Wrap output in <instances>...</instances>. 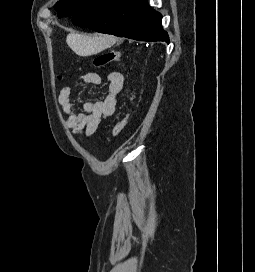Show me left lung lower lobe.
I'll use <instances>...</instances> for the list:
<instances>
[{
	"mask_svg": "<svg viewBox=\"0 0 255 272\" xmlns=\"http://www.w3.org/2000/svg\"><path fill=\"white\" fill-rule=\"evenodd\" d=\"M162 15L148 0H90L72 15V22L99 33L113 34L138 41H165Z\"/></svg>",
	"mask_w": 255,
	"mask_h": 272,
	"instance_id": "1",
	"label": "left lung lower lobe"
}]
</instances>
